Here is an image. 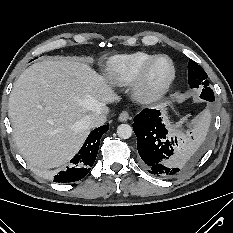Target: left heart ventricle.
Here are the masks:
<instances>
[{"label":"left heart ventricle","mask_w":233,"mask_h":233,"mask_svg":"<svg viewBox=\"0 0 233 233\" xmlns=\"http://www.w3.org/2000/svg\"><path fill=\"white\" fill-rule=\"evenodd\" d=\"M170 73V65L167 60H161L159 61L155 67L151 70L150 73V83L152 85L161 83L164 81Z\"/></svg>","instance_id":"obj_1"}]
</instances>
